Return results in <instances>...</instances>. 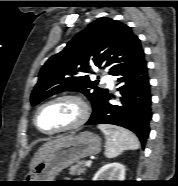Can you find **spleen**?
<instances>
[{"mask_svg":"<svg viewBox=\"0 0 178 186\" xmlns=\"http://www.w3.org/2000/svg\"><path fill=\"white\" fill-rule=\"evenodd\" d=\"M98 128L106 138L105 156L107 158H115L124 150H137L140 147L137 137L127 129L107 124H100Z\"/></svg>","mask_w":178,"mask_h":186,"instance_id":"3e777b00","label":"spleen"}]
</instances>
